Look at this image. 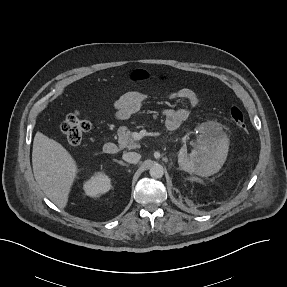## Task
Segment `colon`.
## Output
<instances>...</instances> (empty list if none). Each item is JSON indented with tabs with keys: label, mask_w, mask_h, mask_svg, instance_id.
Masks as SVG:
<instances>
[{
	"label": "colon",
	"mask_w": 287,
	"mask_h": 287,
	"mask_svg": "<svg viewBox=\"0 0 287 287\" xmlns=\"http://www.w3.org/2000/svg\"><path fill=\"white\" fill-rule=\"evenodd\" d=\"M150 75L144 70H136L132 73L131 79L134 81H145ZM233 123L241 130L246 129V121L243 112L239 107L233 106L229 111ZM90 129L89 120L82 116L78 111L67 115L61 125V131L67 141L72 145H78L85 133Z\"/></svg>",
	"instance_id": "colon-1"
}]
</instances>
